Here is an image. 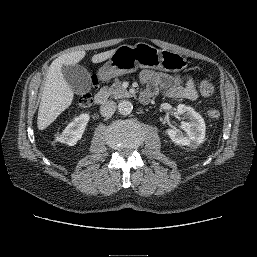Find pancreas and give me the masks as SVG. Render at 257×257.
I'll return each mask as SVG.
<instances>
[{
    "label": "pancreas",
    "instance_id": "1",
    "mask_svg": "<svg viewBox=\"0 0 257 257\" xmlns=\"http://www.w3.org/2000/svg\"><path fill=\"white\" fill-rule=\"evenodd\" d=\"M102 91L105 92L108 97H112L114 99L130 96L129 92L122 87V83L118 79H115L111 87L102 88Z\"/></svg>",
    "mask_w": 257,
    "mask_h": 257
}]
</instances>
